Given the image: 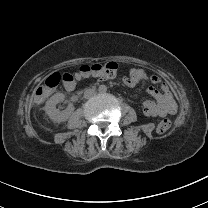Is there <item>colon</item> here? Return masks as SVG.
I'll return each instance as SVG.
<instances>
[{
	"label": "colon",
	"instance_id": "obj_1",
	"mask_svg": "<svg viewBox=\"0 0 208 208\" xmlns=\"http://www.w3.org/2000/svg\"><path fill=\"white\" fill-rule=\"evenodd\" d=\"M118 65L116 62H95L90 64H84L80 67L77 73L81 76H92L99 78L101 76H110L117 74ZM61 83H64L67 88H74L76 86V79L72 77L70 71H64L63 74L54 73L46 80L45 85L48 89H54ZM44 94L42 89H39L37 96ZM172 126V120L170 118H164L157 127V132L164 134L170 130Z\"/></svg>",
	"mask_w": 208,
	"mask_h": 208
}]
</instances>
